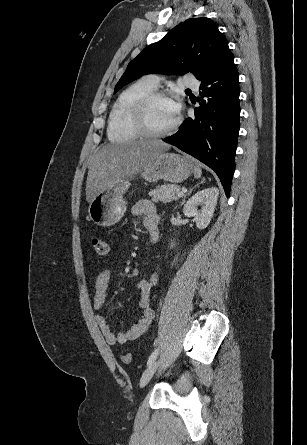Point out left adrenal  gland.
<instances>
[{
  "label": "left adrenal gland",
  "mask_w": 307,
  "mask_h": 445,
  "mask_svg": "<svg viewBox=\"0 0 307 445\" xmlns=\"http://www.w3.org/2000/svg\"><path fill=\"white\" fill-rule=\"evenodd\" d=\"M201 182H204V178H203V180H201ZM201 182H198V184H201ZM198 184H195V186H198ZM195 186H193V188H195ZM193 188H190V190H189V192H187V194H190V192H192ZM187 194H184L181 204H184Z\"/></svg>",
  "instance_id": "obj_1"
}]
</instances>
